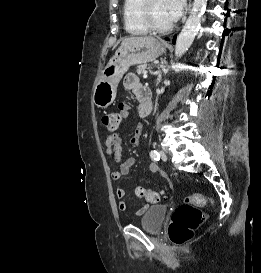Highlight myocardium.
Instances as JSON below:
<instances>
[{"instance_id": "obj_1", "label": "myocardium", "mask_w": 261, "mask_h": 273, "mask_svg": "<svg viewBox=\"0 0 261 273\" xmlns=\"http://www.w3.org/2000/svg\"><path fill=\"white\" fill-rule=\"evenodd\" d=\"M154 0H142L140 5V19L142 23L148 28L150 31L154 32H166L169 31L173 26L174 22L160 26L158 25L152 15V4Z\"/></svg>"}]
</instances>
